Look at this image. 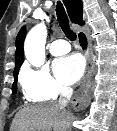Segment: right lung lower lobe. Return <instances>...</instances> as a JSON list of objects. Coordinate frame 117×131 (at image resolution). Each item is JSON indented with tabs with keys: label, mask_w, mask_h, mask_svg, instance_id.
<instances>
[{
	"label": "right lung lower lobe",
	"mask_w": 117,
	"mask_h": 131,
	"mask_svg": "<svg viewBox=\"0 0 117 131\" xmlns=\"http://www.w3.org/2000/svg\"><path fill=\"white\" fill-rule=\"evenodd\" d=\"M79 38H80V44H81V46H82L83 48L86 47L87 41H86V38H85L84 34H83V33H80V34H79Z\"/></svg>",
	"instance_id": "obj_1"
}]
</instances>
